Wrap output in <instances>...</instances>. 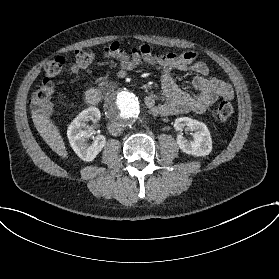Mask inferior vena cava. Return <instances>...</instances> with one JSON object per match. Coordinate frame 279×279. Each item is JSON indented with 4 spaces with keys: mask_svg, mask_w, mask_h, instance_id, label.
<instances>
[{
    "mask_svg": "<svg viewBox=\"0 0 279 279\" xmlns=\"http://www.w3.org/2000/svg\"><path fill=\"white\" fill-rule=\"evenodd\" d=\"M109 133L113 136H119L123 133V127L118 123H110L107 126Z\"/></svg>",
    "mask_w": 279,
    "mask_h": 279,
    "instance_id": "inferior-vena-cava-1",
    "label": "inferior vena cava"
}]
</instances>
